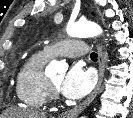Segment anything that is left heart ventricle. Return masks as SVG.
I'll use <instances>...</instances> for the list:
<instances>
[{
  "label": "left heart ventricle",
  "mask_w": 133,
  "mask_h": 118,
  "mask_svg": "<svg viewBox=\"0 0 133 118\" xmlns=\"http://www.w3.org/2000/svg\"><path fill=\"white\" fill-rule=\"evenodd\" d=\"M63 76H55L51 78V81L58 87L62 82Z\"/></svg>",
  "instance_id": "1"
}]
</instances>
